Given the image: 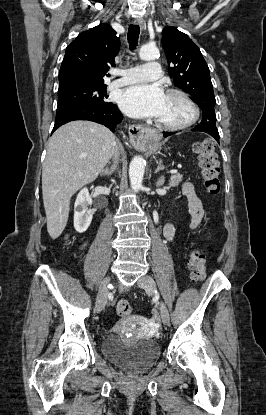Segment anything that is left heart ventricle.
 Returning a JSON list of instances; mask_svg holds the SVG:
<instances>
[{
  "instance_id": "obj_1",
  "label": "left heart ventricle",
  "mask_w": 266,
  "mask_h": 415,
  "mask_svg": "<svg viewBox=\"0 0 266 415\" xmlns=\"http://www.w3.org/2000/svg\"><path fill=\"white\" fill-rule=\"evenodd\" d=\"M190 117L191 110L181 99L166 96L163 111L157 120L168 124H180L187 121Z\"/></svg>"
}]
</instances>
